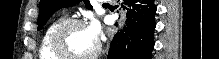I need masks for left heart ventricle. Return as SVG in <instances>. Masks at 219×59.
Returning a JSON list of instances; mask_svg holds the SVG:
<instances>
[{"label":"left heart ventricle","instance_id":"obj_1","mask_svg":"<svg viewBox=\"0 0 219 59\" xmlns=\"http://www.w3.org/2000/svg\"><path fill=\"white\" fill-rule=\"evenodd\" d=\"M64 43L66 49L74 55L88 54L96 46V41L89 36L85 26L71 27L65 35Z\"/></svg>","mask_w":219,"mask_h":59}]
</instances>
